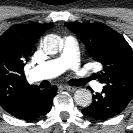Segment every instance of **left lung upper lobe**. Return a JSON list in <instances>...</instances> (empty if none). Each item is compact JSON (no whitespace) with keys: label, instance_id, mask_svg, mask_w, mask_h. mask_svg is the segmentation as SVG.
I'll return each mask as SVG.
<instances>
[{"label":"left lung upper lobe","instance_id":"obj_1","mask_svg":"<svg viewBox=\"0 0 133 133\" xmlns=\"http://www.w3.org/2000/svg\"><path fill=\"white\" fill-rule=\"evenodd\" d=\"M83 41L88 53L103 65L92 77L103 83L104 92L133 97V52L127 41L102 23L68 22Z\"/></svg>","mask_w":133,"mask_h":133}]
</instances>
